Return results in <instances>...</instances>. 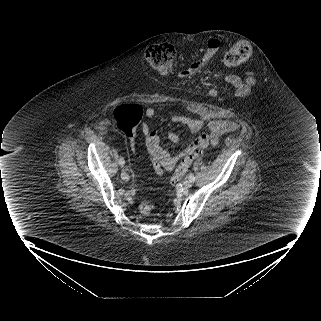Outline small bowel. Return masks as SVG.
Instances as JSON below:
<instances>
[{
    "instance_id": "obj_1",
    "label": "small bowel",
    "mask_w": 321,
    "mask_h": 321,
    "mask_svg": "<svg viewBox=\"0 0 321 321\" xmlns=\"http://www.w3.org/2000/svg\"><path fill=\"white\" fill-rule=\"evenodd\" d=\"M220 48L221 42L218 39H210L202 57L190 63L186 69L181 71L179 76L181 78H186L205 68L216 56ZM227 81L231 88L235 90L236 94L242 96L251 90L252 85L256 81V77L254 74L249 73L241 79L236 75L231 74L228 76ZM154 115L155 110L153 108H147L145 110V117L147 119L153 118ZM171 120L186 126L192 133H198L204 129V135L207 136L208 143L212 145L218 144L224 134L238 128V125L235 122L226 119H215L204 123L201 119L190 118L183 115H172ZM141 131L146 136L147 151L151 157L154 168L158 173H162L163 170H172L179 160L190 155L196 149L195 140L176 154H171L162 147L157 131L151 130L147 123L141 125ZM168 140L176 144L180 142L181 137L176 132H170L168 134Z\"/></svg>"
}]
</instances>
